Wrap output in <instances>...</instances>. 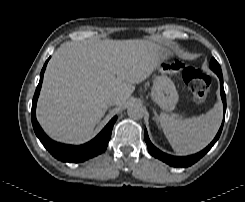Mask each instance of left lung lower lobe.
<instances>
[{
  "label": "left lung lower lobe",
  "instance_id": "0a47b994",
  "mask_svg": "<svg viewBox=\"0 0 245 202\" xmlns=\"http://www.w3.org/2000/svg\"><path fill=\"white\" fill-rule=\"evenodd\" d=\"M217 76L220 79L221 98H222L223 105H224V116H225L226 97H225V92H224V88H223V76H222V74H217ZM223 123H224V120H223L222 125H221L216 137L214 138V140L205 149H203L202 151L198 152L197 154H194L191 156L176 157V156H171V155H168L166 153H163L162 151H160L159 149L154 147L153 144L150 142L146 129H145V133H144L145 142H146L148 150L152 156L162 160L163 162L169 164L170 166L188 167V166H191L192 164H194L195 162H197L199 159H201L211 149V147L215 144V142L218 140V138L222 132Z\"/></svg>",
  "mask_w": 245,
  "mask_h": 202
}]
</instances>
